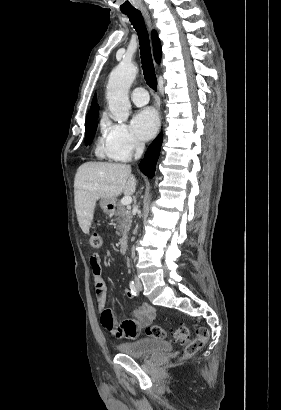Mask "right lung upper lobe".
Returning <instances> with one entry per match:
<instances>
[{
    "label": "right lung upper lobe",
    "mask_w": 281,
    "mask_h": 410,
    "mask_svg": "<svg viewBox=\"0 0 281 410\" xmlns=\"http://www.w3.org/2000/svg\"><path fill=\"white\" fill-rule=\"evenodd\" d=\"M152 43H153V51H154L155 60L156 62L159 63L161 59V43L155 31H152ZM98 111H99V105L97 104V98L95 95L92 100L91 110L87 114L86 119L94 117V116H98Z\"/></svg>",
    "instance_id": "obj_1"
}]
</instances>
